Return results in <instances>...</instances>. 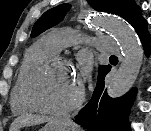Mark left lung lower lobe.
I'll list each match as a JSON object with an SVG mask.
<instances>
[{
	"label": "left lung lower lobe",
	"instance_id": "0a47b994",
	"mask_svg": "<svg viewBox=\"0 0 151 131\" xmlns=\"http://www.w3.org/2000/svg\"><path fill=\"white\" fill-rule=\"evenodd\" d=\"M136 30L143 44L145 53L150 54V34L147 31V22L140 11L130 23ZM111 67L106 66L99 74L96 88L91 100L75 116V122L89 131H129L127 121L131 105L137 90L132 88L127 94L119 98H110L105 87V76Z\"/></svg>",
	"mask_w": 151,
	"mask_h": 131
}]
</instances>
